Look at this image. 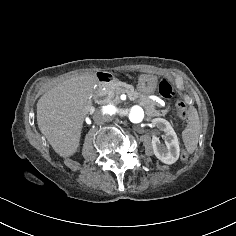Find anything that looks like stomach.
<instances>
[{"instance_id": "1", "label": "stomach", "mask_w": 236, "mask_h": 236, "mask_svg": "<svg viewBox=\"0 0 236 236\" xmlns=\"http://www.w3.org/2000/svg\"><path fill=\"white\" fill-rule=\"evenodd\" d=\"M158 78L151 74H141L138 79V90L145 94H151L155 91Z\"/></svg>"}]
</instances>
